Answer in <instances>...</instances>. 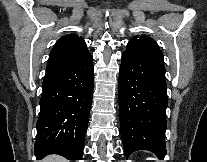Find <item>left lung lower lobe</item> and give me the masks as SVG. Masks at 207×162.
<instances>
[{"instance_id":"1","label":"left lung lower lobe","mask_w":207,"mask_h":162,"mask_svg":"<svg viewBox=\"0 0 207 162\" xmlns=\"http://www.w3.org/2000/svg\"><path fill=\"white\" fill-rule=\"evenodd\" d=\"M167 87L161 63L124 53L119 71V119L126 157L148 150L166 155Z\"/></svg>"}]
</instances>
